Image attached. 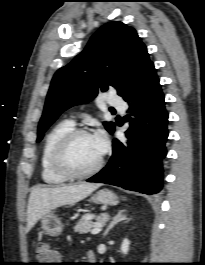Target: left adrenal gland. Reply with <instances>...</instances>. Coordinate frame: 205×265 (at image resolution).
<instances>
[{
    "label": "left adrenal gland",
    "instance_id": "left-adrenal-gland-1",
    "mask_svg": "<svg viewBox=\"0 0 205 265\" xmlns=\"http://www.w3.org/2000/svg\"><path fill=\"white\" fill-rule=\"evenodd\" d=\"M125 212V210H119L117 212V214L112 218V221L110 222V224L108 225V227L106 228L105 232L103 233V237H105L108 232L119 222L123 221V220H127V217L125 215H123V213Z\"/></svg>",
    "mask_w": 205,
    "mask_h": 265
}]
</instances>
